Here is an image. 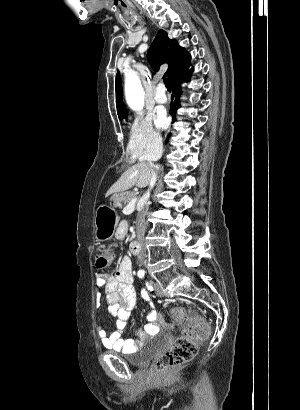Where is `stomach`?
<instances>
[{"label":"stomach","instance_id":"0dacf381","mask_svg":"<svg viewBox=\"0 0 300 410\" xmlns=\"http://www.w3.org/2000/svg\"><path fill=\"white\" fill-rule=\"evenodd\" d=\"M118 194H114L111 200L114 202L117 201ZM119 217L116 214L115 210L109 206H101L98 208L95 218L96 226V238L98 241L109 240L115 232V229L118 225Z\"/></svg>","mask_w":300,"mask_h":410}]
</instances>
